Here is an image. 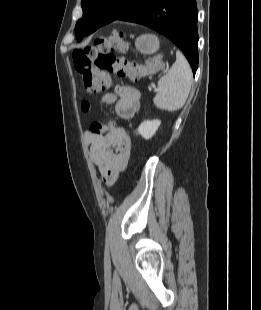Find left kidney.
Listing matches in <instances>:
<instances>
[{"mask_svg": "<svg viewBox=\"0 0 261 310\" xmlns=\"http://www.w3.org/2000/svg\"><path fill=\"white\" fill-rule=\"evenodd\" d=\"M161 124L160 120L144 121L138 127V132L146 140L152 138Z\"/></svg>", "mask_w": 261, "mask_h": 310, "instance_id": "5707ae66", "label": "left kidney"}]
</instances>
